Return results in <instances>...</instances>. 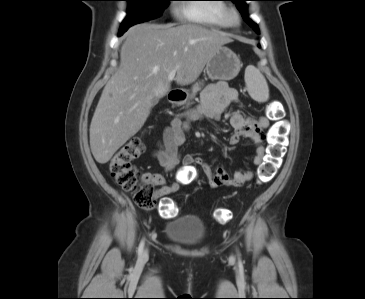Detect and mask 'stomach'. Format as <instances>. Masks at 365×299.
Instances as JSON below:
<instances>
[{
  "instance_id": "1",
  "label": "stomach",
  "mask_w": 365,
  "mask_h": 299,
  "mask_svg": "<svg viewBox=\"0 0 365 299\" xmlns=\"http://www.w3.org/2000/svg\"><path fill=\"white\" fill-rule=\"evenodd\" d=\"M241 69L239 57L229 48L217 49L206 64V72L212 80H232ZM182 104L184 101H177Z\"/></svg>"
}]
</instances>
